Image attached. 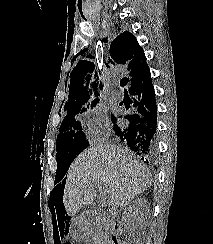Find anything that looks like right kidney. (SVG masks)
<instances>
[{"mask_svg": "<svg viewBox=\"0 0 213 244\" xmlns=\"http://www.w3.org/2000/svg\"><path fill=\"white\" fill-rule=\"evenodd\" d=\"M149 203L146 198L141 197L133 201V204L127 209L123 216V221L127 225H134V219L138 215L140 209L148 208Z\"/></svg>", "mask_w": 213, "mask_h": 244, "instance_id": "1", "label": "right kidney"}]
</instances>
